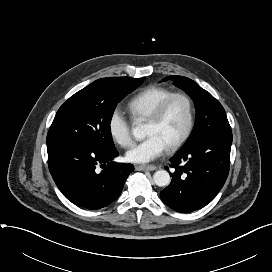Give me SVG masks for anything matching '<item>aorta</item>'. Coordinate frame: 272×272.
<instances>
[{"instance_id": "aorta-1", "label": "aorta", "mask_w": 272, "mask_h": 272, "mask_svg": "<svg viewBox=\"0 0 272 272\" xmlns=\"http://www.w3.org/2000/svg\"><path fill=\"white\" fill-rule=\"evenodd\" d=\"M132 134L136 140H143L147 134L146 126L144 124L136 125L132 129ZM170 180V175L166 170H158L153 175V181L159 187L169 185Z\"/></svg>"}]
</instances>
